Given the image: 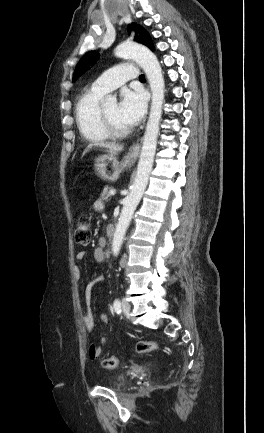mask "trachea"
Listing matches in <instances>:
<instances>
[{"label":"trachea","mask_w":264,"mask_h":433,"mask_svg":"<svg viewBox=\"0 0 264 433\" xmlns=\"http://www.w3.org/2000/svg\"><path fill=\"white\" fill-rule=\"evenodd\" d=\"M139 79H140V80H145V76H144L143 74H141V75L139 76Z\"/></svg>","instance_id":"obj_1"}]
</instances>
